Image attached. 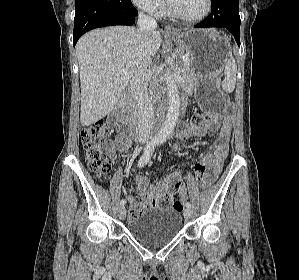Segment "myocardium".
<instances>
[{
	"mask_svg": "<svg viewBox=\"0 0 299 280\" xmlns=\"http://www.w3.org/2000/svg\"><path fill=\"white\" fill-rule=\"evenodd\" d=\"M166 7L167 11L170 15L173 17L182 20L184 22H189V23H198L203 21L211 12L212 9V0H206V8L205 11L198 17L195 18H189L184 15H182L180 12H178L172 5L171 0H166Z\"/></svg>",
	"mask_w": 299,
	"mask_h": 280,
	"instance_id": "1",
	"label": "myocardium"
}]
</instances>
